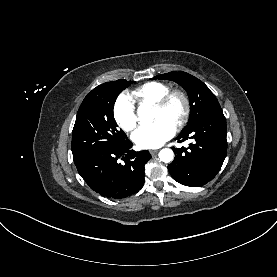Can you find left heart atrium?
Instances as JSON below:
<instances>
[{
  "label": "left heart atrium",
  "mask_w": 277,
  "mask_h": 277,
  "mask_svg": "<svg viewBox=\"0 0 277 277\" xmlns=\"http://www.w3.org/2000/svg\"><path fill=\"white\" fill-rule=\"evenodd\" d=\"M175 132V123L161 118L150 125L139 127L133 133L132 140L142 149H153L162 146Z\"/></svg>",
  "instance_id": "left-heart-atrium-1"
}]
</instances>
